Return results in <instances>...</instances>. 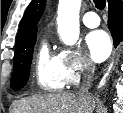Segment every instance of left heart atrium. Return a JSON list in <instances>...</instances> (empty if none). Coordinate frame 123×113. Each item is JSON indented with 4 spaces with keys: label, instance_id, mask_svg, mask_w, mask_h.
<instances>
[{
    "label": "left heart atrium",
    "instance_id": "left-heart-atrium-1",
    "mask_svg": "<svg viewBox=\"0 0 123 113\" xmlns=\"http://www.w3.org/2000/svg\"><path fill=\"white\" fill-rule=\"evenodd\" d=\"M86 45L90 56L97 62L105 60L112 50L110 38L108 34L102 30L89 33L86 37Z\"/></svg>",
    "mask_w": 123,
    "mask_h": 113
}]
</instances>
